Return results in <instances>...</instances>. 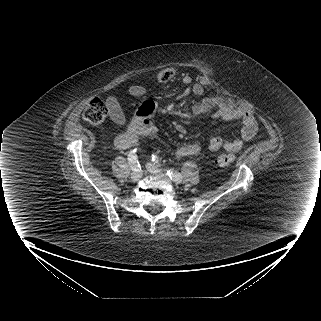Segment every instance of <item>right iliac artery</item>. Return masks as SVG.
I'll return each mask as SVG.
<instances>
[{"label":"right iliac artery","mask_w":321,"mask_h":321,"mask_svg":"<svg viewBox=\"0 0 321 321\" xmlns=\"http://www.w3.org/2000/svg\"><path fill=\"white\" fill-rule=\"evenodd\" d=\"M128 164L133 170H138L140 167V164L137 159L136 149L131 150L128 155Z\"/></svg>","instance_id":"obj_1"}]
</instances>
